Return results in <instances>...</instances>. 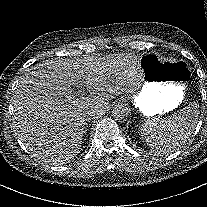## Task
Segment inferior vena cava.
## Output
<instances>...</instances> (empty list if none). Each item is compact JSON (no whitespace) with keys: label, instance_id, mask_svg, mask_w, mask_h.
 Returning <instances> with one entry per match:
<instances>
[{"label":"inferior vena cava","instance_id":"602c4592","mask_svg":"<svg viewBox=\"0 0 207 207\" xmlns=\"http://www.w3.org/2000/svg\"><path fill=\"white\" fill-rule=\"evenodd\" d=\"M95 113H99V110H95ZM95 113H94V114H95Z\"/></svg>","mask_w":207,"mask_h":207}]
</instances>
